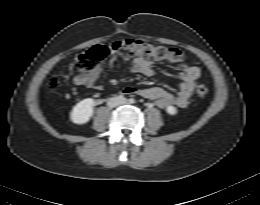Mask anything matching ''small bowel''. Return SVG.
I'll return each instance as SVG.
<instances>
[{
	"mask_svg": "<svg viewBox=\"0 0 260 205\" xmlns=\"http://www.w3.org/2000/svg\"><path fill=\"white\" fill-rule=\"evenodd\" d=\"M117 61L118 55L116 52L112 51L109 59V65L113 67ZM179 68V78L181 83L179 90L176 93H171L161 87L140 88L136 86L125 87L120 93L122 95H138L152 100L162 109H167L172 106L185 108L189 103L195 82L201 75V70L197 66H191L185 63L180 64ZM130 70L148 77L155 74L154 62L141 57H136L133 60ZM101 73L102 67L97 66L90 73L75 76L74 83L79 86L102 90V86L98 84Z\"/></svg>",
	"mask_w": 260,
	"mask_h": 205,
	"instance_id": "1",
	"label": "small bowel"
}]
</instances>
